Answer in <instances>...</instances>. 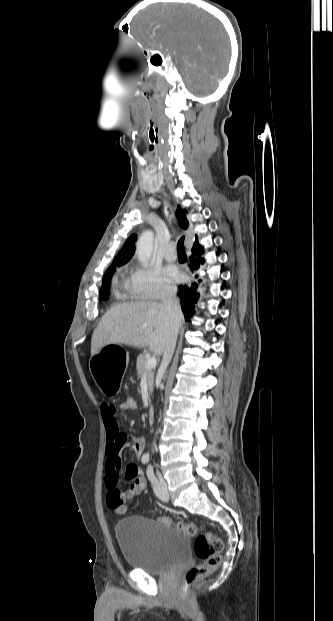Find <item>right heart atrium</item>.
Segmentation results:
<instances>
[{
  "label": "right heart atrium",
  "mask_w": 333,
  "mask_h": 621,
  "mask_svg": "<svg viewBox=\"0 0 333 621\" xmlns=\"http://www.w3.org/2000/svg\"><path fill=\"white\" fill-rule=\"evenodd\" d=\"M129 286L133 295L143 300H159L175 293V286L152 265H139L131 273Z\"/></svg>",
  "instance_id": "obj_1"
}]
</instances>
